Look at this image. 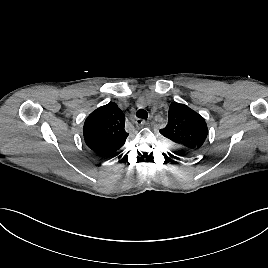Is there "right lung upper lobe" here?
I'll return each instance as SVG.
<instances>
[{"label":"right lung upper lobe","instance_id":"1","mask_svg":"<svg viewBox=\"0 0 268 268\" xmlns=\"http://www.w3.org/2000/svg\"><path fill=\"white\" fill-rule=\"evenodd\" d=\"M83 135L94 152L103 157L115 156L128 137L124 113L114 102L97 108L86 118Z\"/></svg>","mask_w":268,"mask_h":268}]
</instances>
